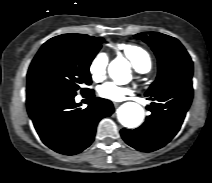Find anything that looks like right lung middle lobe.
Segmentation results:
<instances>
[{"mask_svg": "<svg viewBox=\"0 0 212 183\" xmlns=\"http://www.w3.org/2000/svg\"><path fill=\"white\" fill-rule=\"evenodd\" d=\"M104 40L83 34H63L42 45L27 74V90L57 89L71 93L88 91L90 64Z\"/></svg>", "mask_w": 212, "mask_h": 183, "instance_id": "dd1d6c3e", "label": "right lung middle lobe"}]
</instances>
